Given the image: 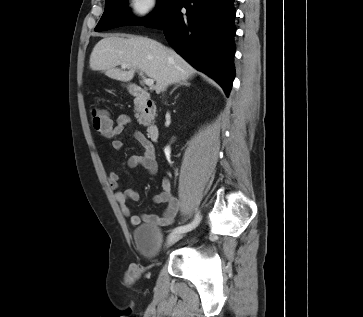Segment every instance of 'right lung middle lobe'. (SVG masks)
Returning <instances> with one entry per match:
<instances>
[{
    "mask_svg": "<svg viewBox=\"0 0 363 317\" xmlns=\"http://www.w3.org/2000/svg\"><path fill=\"white\" fill-rule=\"evenodd\" d=\"M174 0H158L156 10L146 19L134 20L128 15L126 0H106L105 11L95 28V31H104L124 25H146L161 17Z\"/></svg>",
    "mask_w": 363,
    "mask_h": 317,
    "instance_id": "obj_1",
    "label": "right lung middle lobe"
}]
</instances>
